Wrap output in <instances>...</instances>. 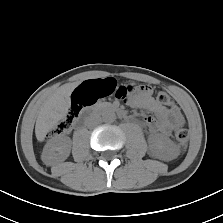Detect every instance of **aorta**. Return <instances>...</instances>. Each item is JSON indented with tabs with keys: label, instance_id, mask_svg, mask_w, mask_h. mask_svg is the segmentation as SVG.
Here are the masks:
<instances>
[{
	"label": "aorta",
	"instance_id": "762f6f07",
	"mask_svg": "<svg viewBox=\"0 0 223 223\" xmlns=\"http://www.w3.org/2000/svg\"><path fill=\"white\" fill-rule=\"evenodd\" d=\"M101 118L106 123H112L116 119V115L113 111L105 110L102 112Z\"/></svg>",
	"mask_w": 223,
	"mask_h": 223
}]
</instances>
